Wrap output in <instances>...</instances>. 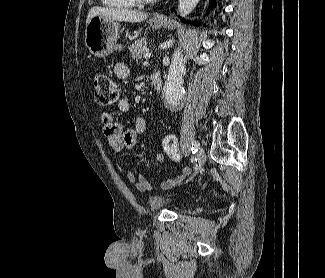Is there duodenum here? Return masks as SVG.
I'll use <instances>...</instances> for the list:
<instances>
[{
	"label": "duodenum",
	"instance_id": "1",
	"mask_svg": "<svg viewBox=\"0 0 325 278\" xmlns=\"http://www.w3.org/2000/svg\"><path fill=\"white\" fill-rule=\"evenodd\" d=\"M150 79L155 90L157 92H160L163 87V82L160 73L158 72L151 73Z\"/></svg>",
	"mask_w": 325,
	"mask_h": 278
}]
</instances>
